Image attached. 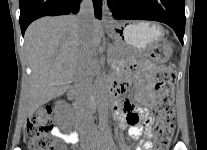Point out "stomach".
<instances>
[{"label":"stomach","instance_id":"0dacf381","mask_svg":"<svg viewBox=\"0 0 207 150\" xmlns=\"http://www.w3.org/2000/svg\"><path fill=\"white\" fill-rule=\"evenodd\" d=\"M115 46L120 47L119 59L126 60L149 51L164 36V28L154 22L116 23L107 28Z\"/></svg>","mask_w":207,"mask_h":150}]
</instances>
